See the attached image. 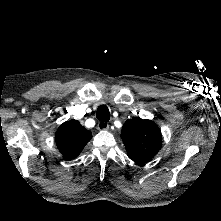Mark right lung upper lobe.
Listing matches in <instances>:
<instances>
[{
    "label": "right lung upper lobe",
    "instance_id": "right-lung-upper-lobe-1",
    "mask_svg": "<svg viewBox=\"0 0 221 221\" xmlns=\"http://www.w3.org/2000/svg\"><path fill=\"white\" fill-rule=\"evenodd\" d=\"M91 138V132L77 120L61 124L55 135L57 147L67 160L77 157Z\"/></svg>",
    "mask_w": 221,
    "mask_h": 221
}]
</instances>
